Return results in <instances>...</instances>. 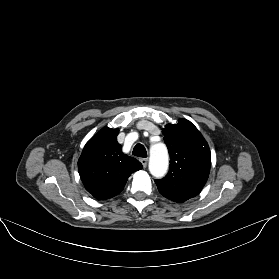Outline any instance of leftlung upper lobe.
<instances>
[{"mask_svg":"<svg viewBox=\"0 0 279 279\" xmlns=\"http://www.w3.org/2000/svg\"><path fill=\"white\" fill-rule=\"evenodd\" d=\"M163 134L170 154V169L155 182L161 195L182 203L204 187L211 166L210 149L197 128L186 119L166 125Z\"/></svg>","mask_w":279,"mask_h":279,"instance_id":"obj_1","label":"left lung upper lobe"}]
</instances>
